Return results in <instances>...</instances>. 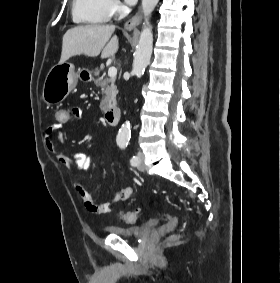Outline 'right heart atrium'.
I'll return each instance as SVG.
<instances>
[{
    "label": "right heart atrium",
    "mask_w": 280,
    "mask_h": 283,
    "mask_svg": "<svg viewBox=\"0 0 280 283\" xmlns=\"http://www.w3.org/2000/svg\"><path fill=\"white\" fill-rule=\"evenodd\" d=\"M107 11L110 16H115L123 11V6L118 0H106Z\"/></svg>",
    "instance_id": "obj_1"
}]
</instances>
